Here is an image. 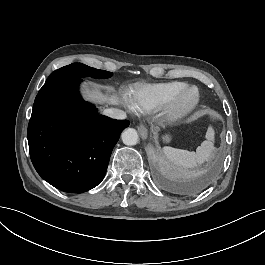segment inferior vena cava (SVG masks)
Instances as JSON below:
<instances>
[{"mask_svg":"<svg viewBox=\"0 0 265 265\" xmlns=\"http://www.w3.org/2000/svg\"><path fill=\"white\" fill-rule=\"evenodd\" d=\"M103 114L114 119H125L126 113L116 108H108L103 111Z\"/></svg>","mask_w":265,"mask_h":265,"instance_id":"inferior-vena-cava-1","label":"inferior vena cava"}]
</instances>
